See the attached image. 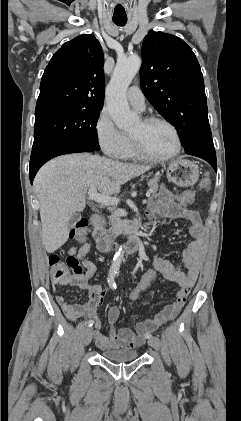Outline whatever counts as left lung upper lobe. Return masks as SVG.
<instances>
[{
  "label": "left lung upper lobe",
  "instance_id": "1",
  "mask_svg": "<svg viewBox=\"0 0 241 421\" xmlns=\"http://www.w3.org/2000/svg\"><path fill=\"white\" fill-rule=\"evenodd\" d=\"M141 52L142 91L175 126L185 152L213 145L203 75L192 49L174 35L150 31Z\"/></svg>",
  "mask_w": 241,
  "mask_h": 421
}]
</instances>
